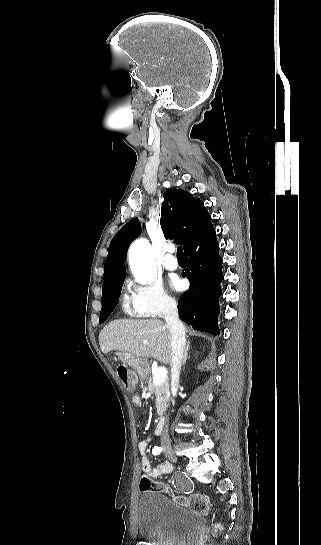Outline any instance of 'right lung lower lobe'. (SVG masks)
Here are the masks:
<instances>
[{"label": "right lung lower lobe", "mask_w": 321, "mask_h": 545, "mask_svg": "<svg viewBox=\"0 0 321 545\" xmlns=\"http://www.w3.org/2000/svg\"><path fill=\"white\" fill-rule=\"evenodd\" d=\"M187 268L182 276L191 283L190 288L178 301L179 317L195 330L219 334L220 283L224 276L221 270L222 258L212 224L184 249ZM119 297V296H118ZM118 297L107 303L108 316L114 309Z\"/></svg>", "instance_id": "right-lung-lower-lobe-1"}]
</instances>
